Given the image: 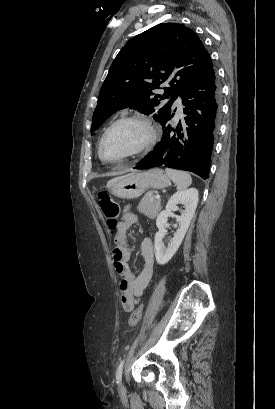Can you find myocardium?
<instances>
[{
  "mask_svg": "<svg viewBox=\"0 0 275 409\" xmlns=\"http://www.w3.org/2000/svg\"><path fill=\"white\" fill-rule=\"evenodd\" d=\"M123 123H131L138 125L143 132L141 140L138 142V144L132 148L129 152L125 153L124 155L120 157H133L144 150H146L154 141L155 138V130L154 127L152 126L151 122L139 115H132V116H123L117 120H115L104 132L100 142H99V147H98V153L100 157H105L103 154V145L110 134V132L118 125L123 124Z\"/></svg>",
  "mask_w": 275,
  "mask_h": 409,
  "instance_id": "myocardium-1",
  "label": "myocardium"
}]
</instances>
